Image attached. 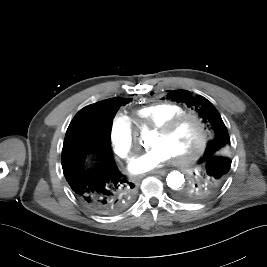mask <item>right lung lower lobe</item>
<instances>
[{"label": "right lung lower lobe", "instance_id": "right-lung-lower-lobe-1", "mask_svg": "<svg viewBox=\"0 0 267 267\" xmlns=\"http://www.w3.org/2000/svg\"><path fill=\"white\" fill-rule=\"evenodd\" d=\"M104 125L101 115H84L68 127L62 168L70 188L83 204L99 214L113 215L134 201L136 187L121 173L114 159L100 151ZM89 154L94 156L87 163Z\"/></svg>", "mask_w": 267, "mask_h": 267}]
</instances>
